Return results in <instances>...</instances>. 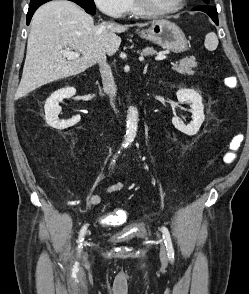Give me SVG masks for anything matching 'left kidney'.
Wrapping results in <instances>:
<instances>
[{
    "label": "left kidney",
    "mask_w": 249,
    "mask_h": 294,
    "mask_svg": "<svg viewBox=\"0 0 249 294\" xmlns=\"http://www.w3.org/2000/svg\"><path fill=\"white\" fill-rule=\"evenodd\" d=\"M176 95L180 103L190 104L191 109L189 111L192 113L193 120L190 124L185 125L181 123L177 117H173L172 123L179 131L190 136L195 135L205 119L202 97L193 89H180L177 91Z\"/></svg>",
    "instance_id": "5707ae66"
}]
</instances>
